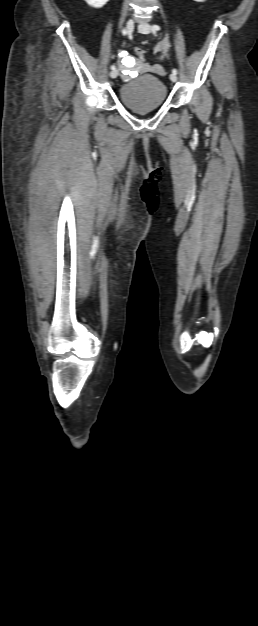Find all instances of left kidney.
Here are the masks:
<instances>
[{
  "mask_svg": "<svg viewBox=\"0 0 258 626\" xmlns=\"http://www.w3.org/2000/svg\"><path fill=\"white\" fill-rule=\"evenodd\" d=\"M195 2H205L206 0H194Z\"/></svg>",
  "mask_w": 258,
  "mask_h": 626,
  "instance_id": "left-kidney-1",
  "label": "left kidney"
}]
</instances>
